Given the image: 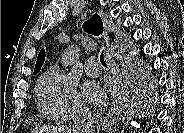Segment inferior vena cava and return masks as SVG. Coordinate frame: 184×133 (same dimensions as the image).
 I'll return each instance as SVG.
<instances>
[{
	"mask_svg": "<svg viewBox=\"0 0 184 133\" xmlns=\"http://www.w3.org/2000/svg\"><path fill=\"white\" fill-rule=\"evenodd\" d=\"M76 133H92L93 132V120L90 111L79 106L75 111V126Z\"/></svg>",
	"mask_w": 184,
	"mask_h": 133,
	"instance_id": "inferior-vena-cava-1",
	"label": "inferior vena cava"
}]
</instances>
